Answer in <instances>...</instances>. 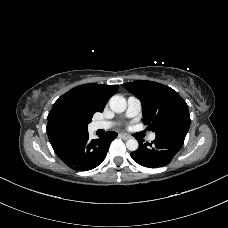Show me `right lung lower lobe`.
<instances>
[{"mask_svg":"<svg viewBox=\"0 0 228 228\" xmlns=\"http://www.w3.org/2000/svg\"><path fill=\"white\" fill-rule=\"evenodd\" d=\"M113 131L99 139H89L88 131L63 129L48 134L56 155L77 171L91 170L105 159L110 143L117 137Z\"/></svg>","mask_w":228,"mask_h":228,"instance_id":"98d812e1","label":"right lung lower lobe"}]
</instances>
